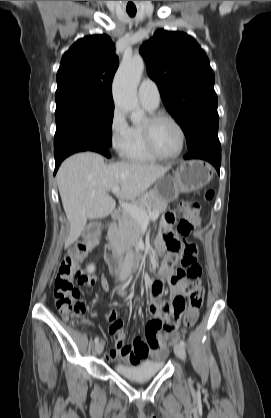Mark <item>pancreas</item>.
I'll return each instance as SVG.
<instances>
[{"mask_svg": "<svg viewBox=\"0 0 271 418\" xmlns=\"http://www.w3.org/2000/svg\"><path fill=\"white\" fill-rule=\"evenodd\" d=\"M134 205L146 212L157 211L159 214L167 208V203L154 190L147 192L145 197L137 200ZM110 236L120 241L123 246L136 243L141 238V223L124 211L118 220V225L111 229Z\"/></svg>", "mask_w": 271, "mask_h": 418, "instance_id": "obj_1", "label": "pancreas"}]
</instances>
